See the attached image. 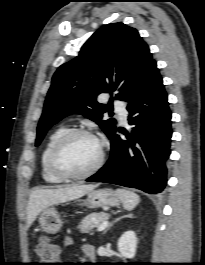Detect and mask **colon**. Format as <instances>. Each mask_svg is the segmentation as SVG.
Instances as JSON below:
<instances>
[{
    "instance_id": "colon-1",
    "label": "colon",
    "mask_w": 205,
    "mask_h": 265,
    "mask_svg": "<svg viewBox=\"0 0 205 265\" xmlns=\"http://www.w3.org/2000/svg\"><path fill=\"white\" fill-rule=\"evenodd\" d=\"M36 255L39 260V265H56L60 251L56 244L52 243L47 238H42L36 246Z\"/></svg>"
}]
</instances>
